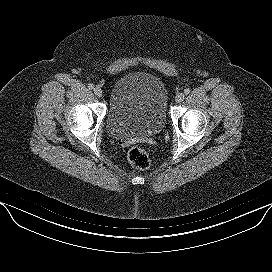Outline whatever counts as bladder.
<instances>
[{
    "label": "bladder",
    "instance_id": "bladder-1",
    "mask_svg": "<svg viewBox=\"0 0 272 272\" xmlns=\"http://www.w3.org/2000/svg\"><path fill=\"white\" fill-rule=\"evenodd\" d=\"M168 91L153 73L131 71L112 85L106 115V128L115 139L153 135L167 119Z\"/></svg>",
    "mask_w": 272,
    "mask_h": 272
}]
</instances>
